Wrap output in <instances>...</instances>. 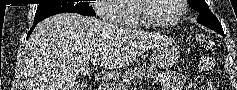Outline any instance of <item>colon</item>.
Listing matches in <instances>:
<instances>
[{
    "label": "colon",
    "instance_id": "1",
    "mask_svg": "<svg viewBox=\"0 0 237 90\" xmlns=\"http://www.w3.org/2000/svg\"><path fill=\"white\" fill-rule=\"evenodd\" d=\"M201 40H202L203 44H205L207 46H212L213 45V41L210 38H208L207 36H203L201 38Z\"/></svg>",
    "mask_w": 237,
    "mask_h": 90
}]
</instances>
